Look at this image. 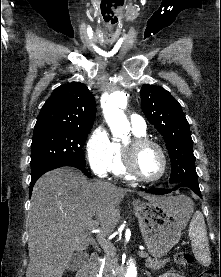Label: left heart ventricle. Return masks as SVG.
<instances>
[{
    "label": "left heart ventricle",
    "instance_id": "left-heart-ventricle-1",
    "mask_svg": "<svg viewBox=\"0 0 221 277\" xmlns=\"http://www.w3.org/2000/svg\"><path fill=\"white\" fill-rule=\"evenodd\" d=\"M136 166L140 174L146 178H154L162 169V160L158 150L147 147L141 150L136 159Z\"/></svg>",
    "mask_w": 221,
    "mask_h": 277
}]
</instances>
